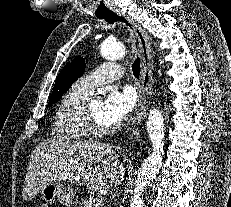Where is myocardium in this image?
I'll return each mask as SVG.
<instances>
[{"instance_id":"obj_1","label":"myocardium","mask_w":231,"mask_h":207,"mask_svg":"<svg viewBox=\"0 0 231 207\" xmlns=\"http://www.w3.org/2000/svg\"><path fill=\"white\" fill-rule=\"evenodd\" d=\"M92 100H87L82 109V122L87 131L95 137H102L113 132V128L110 126L100 125L93 117L90 111V104Z\"/></svg>"}]
</instances>
